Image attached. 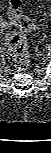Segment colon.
<instances>
[{
	"label": "colon",
	"instance_id": "colon-1",
	"mask_svg": "<svg viewBox=\"0 0 51 153\" xmlns=\"http://www.w3.org/2000/svg\"><path fill=\"white\" fill-rule=\"evenodd\" d=\"M10 24L15 28L10 30L5 38L7 49L17 69L23 70L28 66L29 54L25 33L34 29V24L22 14L21 0H10Z\"/></svg>",
	"mask_w": 51,
	"mask_h": 153
}]
</instances>
